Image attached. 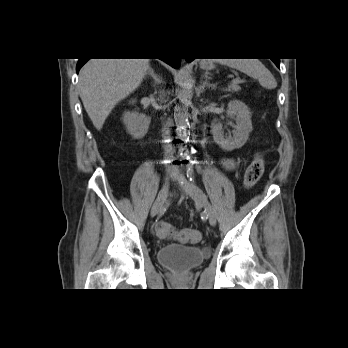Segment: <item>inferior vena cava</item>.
<instances>
[{
  "instance_id": "602c4592",
  "label": "inferior vena cava",
  "mask_w": 348,
  "mask_h": 348,
  "mask_svg": "<svg viewBox=\"0 0 348 348\" xmlns=\"http://www.w3.org/2000/svg\"><path fill=\"white\" fill-rule=\"evenodd\" d=\"M163 136H164V139H168L169 138V134H170V130L166 125H164V128H163ZM164 151H165V158H170L172 153H173V147L171 144H165L164 145Z\"/></svg>"
}]
</instances>
